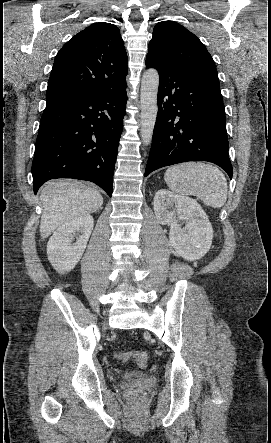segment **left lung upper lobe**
I'll return each mask as SVG.
<instances>
[{"mask_svg":"<svg viewBox=\"0 0 271 443\" xmlns=\"http://www.w3.org/2000/svg\"><path fill=\"white\" fill-rule=\"evenodd\" d=\"M147 56L217 74L215 63L203 43L196 35L174 21L156 24Z\"/></svg>","mask_w":271,"mask_h":443,"instance_id":"5c2ea615","label":"left lung upper lobe"}]
</instances>
